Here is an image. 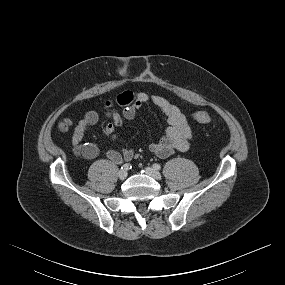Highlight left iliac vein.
Returning <instances> with one entry per match:
<instances>
[{
  "label": "left iliac vein",
  "instance_id": "1",
  "mask_svg": "<svg viewBox=\"0 0 285 285\" xmlns=\"http://www.w3.org/2000/svg\"><path fill=\"white\" fill-rule=\"evenodd\" d=\"M145 172L147 175L151 176L152 178L156 180H161L162 176L159 171H157L155 168L152 167H146Z\"/></svg>",
  "mask_w": 285,
  "mask_h": 285
}]
</instances>
